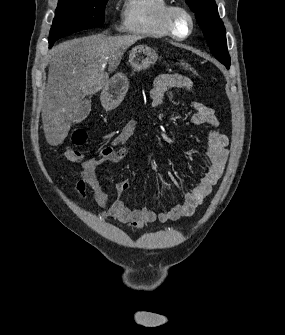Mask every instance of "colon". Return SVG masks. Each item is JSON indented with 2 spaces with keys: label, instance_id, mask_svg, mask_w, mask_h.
<instances>
[{
  "label": "colon",
  "instance_id": "obj_1",
  "mask_svg": "<svg viewBox=\"0 0 285 335\" xmlns=\"http://www.w3.org/2000/svg\"><path fill=\"white\" fill-rule=\"evenodd\" d=\"M179 65L183 69L198 76L197 70L190 62L186 60H180ZM87 137H88L87 132L84 129H77L72 134V143L77 147L82 146L86 142ZM65 156L71 162H80L83 159L82 153L75 148L68 149L65 153Z\"/></svg>",
  "mask_w": 285,
  "mask_h": 335
}]
</instances>
